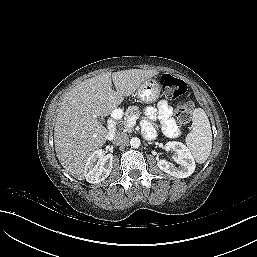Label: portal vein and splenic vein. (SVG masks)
Instances as JSON below:
<instances>
[{
  "label": "portal vein and splenic vein",
  "instance_id": "obj_1",
  "mask_svg": "<svg viewBox=\"0 0 257 257\" xmlns=\"http://www.w3.org/2000/svg\"><path fill=\"white\" fill-rule=\"evenodd\" d=\"M138 119V116L134 115V116H131L128 120H127V123H128V126L129 127H132L136 124V120Z\"/></svg>",
  "mask_w": 257,
  "mask_h": 257
}]
</instances>
